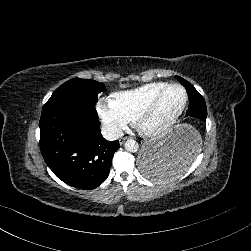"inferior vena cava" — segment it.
Masks as SVG:
<instances>
[{"mask_svg":"<svg viewBox=\"0 0 251 251\" xmlns=\"http://www.w3.org/2000/svg\"><path fill=\"white\" fill-rule=\"evenodd\" d=\"M101 134L103 138L106 139L107 141H115L121 136H123V131L115 125L104 124L101 127Z\"/></svg>","mask_w":251,"mask_h":251,"instance_id":"602c4592","label":"inferior vena cava"}]
</instances>
